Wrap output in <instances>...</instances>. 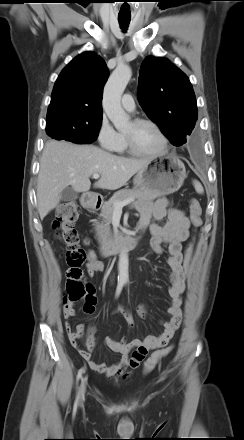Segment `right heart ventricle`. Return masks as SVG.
Instances as JSON below:
<instances>
[{
	"label": "right heart ventricle",
	"mask_w": 244,
	"mask_h": 440,
	"mask_svg": "<svg viewBox=\"0 0 244 440\" xmlns=\"http://www.w3.org/2000/svg\"><path fill=\"white\" fill-rule=\"evenodd\" d=\"M113 151L119 154H132L127 146L123 133H119V139Z\"/></svg>",
	"instance_id": "1"
}]
</instances>
